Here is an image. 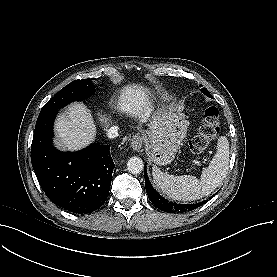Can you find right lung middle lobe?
I'll use <instances>...</instances> for the list:
<instances>
[{"instance_id": "dd1d6c3e", "label": "right lung middle lobe", "mask_w": 277, "mask_h": 277, "mask_svg": "<svg viewBox=\"0 0 277 277\" xmlns=\"http://www.w3.org/2000/svg\"><path fill=\"white\" fill-rule=\"evenodd\" d=\"M94 91L89 79L75 80L62 88L52 99H50L40 111V114L58 110L75 100H83Z\"/></svg>"}]
</instances>
